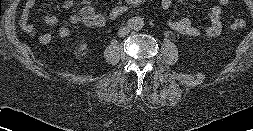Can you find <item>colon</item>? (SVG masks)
Segmentation results:
<instances>
[{"mask_svg":"<svg viewBox=\"0 0 253 131\" xmlns=\"http://www.w3.org/2000/svg\"><path fill=\"white\" fill-rule=\"evenodd\" d=\"M152 0H122L114 4L107 12V18L115 20L126 15L132 8L151 2ZM232 29L240 30L246 27V21L243 18H236L231 25ZM44 44L51 40L43 39Z\"/></svg>","mask_w":253,"mask_h":131,"instance_id":"1","label":"colon"}]
</instances>
